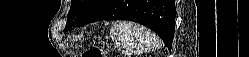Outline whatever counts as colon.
Here are the masks:
<instances>
[{"instance_id":"obj_1","label":"colon","mask_w":249,"mask_h":57,"mask_svg":"<svg viewBox=\"0 0 249 57\" xmlns=\"http://www.w3.org/2000/svg\"><path fill=\"white\" fill-rule=\"evenodd\" d=\"M83 57H106V56L101 49L97 47H91L83 53Z\"/></svg>"}]
</instances>
